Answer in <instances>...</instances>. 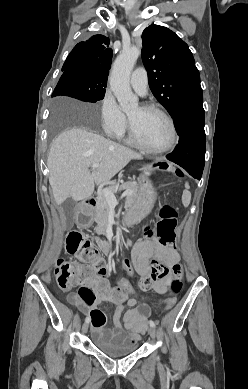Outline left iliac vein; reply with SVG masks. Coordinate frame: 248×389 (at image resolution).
Here are the masks:
<instances>
[{"instance_id": "left-iliac-vein-1", "label": "left iliac vein", "mask_w": 248, "mask_h": 389, "mask_svg": "<svg viewBox=\"0 0 248 389\" xmlns=\"http://www.w3.org/2000/svg\"><path fill=\"white\" fill-rule=\"evenodd\" d=\"M148 332H149V335H150V337L152 338V340H155V338H156V330H155V328L150 327V328L148 329Z\"/></svg>"}]
</instances>
